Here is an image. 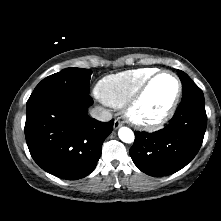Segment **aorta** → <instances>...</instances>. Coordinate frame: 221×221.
<instances>
[{
	"mask_svg": "<svg viewBox=\"0 0 221 221\" xmlns=\"http://www.w3.org/2000/svg\"><path fill=\"white\" fill-rule=\"evenodd\" d=\"M118 136L125 143H132L135 139L133 131L128 127H121L118 131Z\"/></svg>",
	"mask_w": 221,
	"mask_h": 221,
	"instance_id": "762f6f07",
	"label": "aorta"
}]
</instances>
